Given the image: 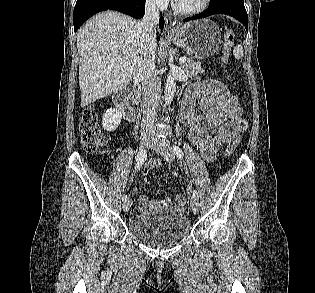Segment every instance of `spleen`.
<instances>
[{
  "mask_svg": "<svg viewBox=\"0 0 315 293\" xmlns=\"http://www.w3.org/2000/svg\"><path fill=\"white\" fill-rule=\"evenodd\" d=\"M233 55L236 59H241L243 57V47L242 45H236L233 49Z\"/></svg>",
  "mask_w": 315,
  "mask_h": 293,
  "instance_id": "spleen-1",
  "label": "spleen"
}]
</instances>
